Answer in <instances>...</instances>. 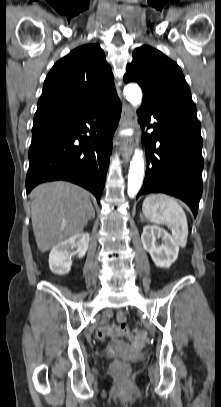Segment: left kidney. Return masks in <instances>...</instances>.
<instances>
[{
  "label": "left kidney",
  "mask_w": 221,
  "mask_h": 407,
  "mask_svg": "<svg viewBox=\"0 0 221 407\" xmlns=\"http://www.w3.org/2000/svg\"><path fill=\"white\" fill-rule=\"evenodd\" d=\"M161 238L162 244L157 246L156 239ZM143 247L151 255L156 266L169 268L178 258L179 245L163 228L146 225L141 235Z\"/></svg>",
  "instance_id": "5707ae66"
}]
</instances>
